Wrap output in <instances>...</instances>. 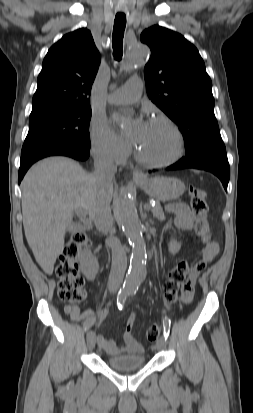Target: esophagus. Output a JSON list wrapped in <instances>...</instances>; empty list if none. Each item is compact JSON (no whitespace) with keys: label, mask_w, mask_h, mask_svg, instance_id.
<instances>
[{"label":"esophagus","mask_w":253,"mask_h":413,"mask_svg":"<svg viewBox=\"0 0 253 413\" xmlns=\"http://www.w3.org/2000/svg\"><path fill=\"white\" fill-rule=\"evenodd\" d=\"M133 177L142 179V178L145 177V175H144V173H143L141 170L135 169V170L133 171Z\"/></svg>","instance_id":"1"}]
</instances>
